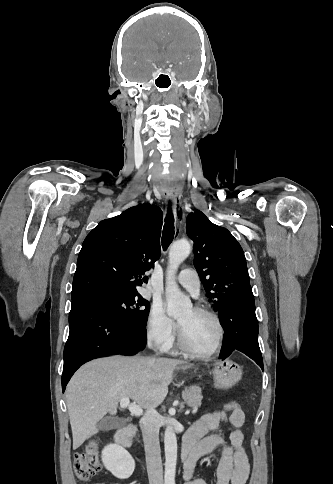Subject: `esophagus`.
<instances>
[{"label":"esophagus","mask_w":333,"mask_h":484,"mask_svg":"<svg viewBox=\"0 0 333 484\" xmlns=\"http://www.w3.org/2000/svg\"><path fill=\"white\" fill-rule=\"evenodd\" d=\"M165 199L167 201L171 200L173 202V211H174V214L176 215V218L179 219L180 210H179V208L176 205V197L173 196V195H167V196H165Z\"/></svg>","instance_id":"obj_1"}]
</instances>
